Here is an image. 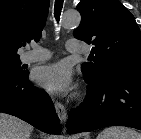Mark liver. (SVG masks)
<instances>
[{"label":"liver","instance_id":"liver-1","mask_svg":"<svg viewBox=\"0 0 141 139\" xmlns=\"http://www.w3.org/2000/svg\"><path fill=\"white\" fill-rule=\"evenodd\" d=\"M33 127L9 114L0 113V139H30Z\"/></svg>","mask_w":141,"mask_h":139}]
</instances>
